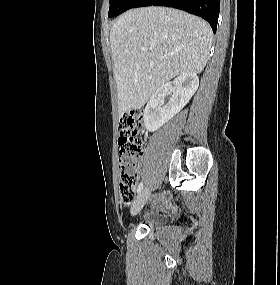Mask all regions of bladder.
I'll return each mask as SVG.
<instances>
[{
  "instance_id": "obj_1",
  "label": "bladder",
  "mask_w": 280,
  "mask_h": 285,
  "mask_svg": "<svg viewBox=\"0 0 280 285\" xmlns=\"http://www.w3.org/2000/svg\"><path fill=\"white\" fill-rule=\"evenodd\" d=\"M168 218H169L168 214L160 213L157 211H149L146 214L145 223L150 226L157 227L163 225Z\"/></svg>"
}]
</instances>
